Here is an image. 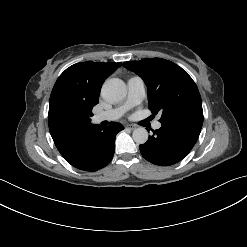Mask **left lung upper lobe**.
I'll return each mask as SVG.
<instances>
[{
  "instance_id": "obj_1",
  "label": "left lung upper lobe",
  "mask_w": 247,
  "mask_h": 247,
  "mask_svg": "<svg viewBox=\"0 0 247 247\" xmlns=\"http://www.w3.org/2000/svg\"><path fill=\"white\" fill-rule=\"evenodd\" d=\"M123 66L144 80L148 107L154 114L161 112V124L182 123L202 128L200 93L185 70L162 58L124 62Z\"/></svg>"
}]
</instances>
